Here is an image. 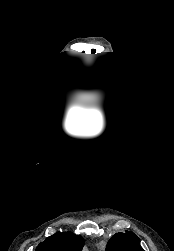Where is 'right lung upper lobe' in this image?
<instances>
[{
    "label": "right lung upper lobe",
    "instance_id": "cb5924a9",
    "mask_svg": "<svg viewBox=\"0 0 174 251\" xmlns=\"http://www.w3.org/2000/svg\"><path fill=\"white\" fill-rule=\"evenodd\" d=\"M84 239L72 232H57L41 242L36 251H81Z\"/></svg>",
    "mask_w": 174,
    "mask_h": 251
}]
</instances>
